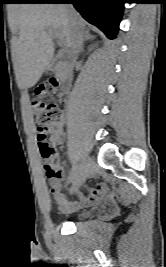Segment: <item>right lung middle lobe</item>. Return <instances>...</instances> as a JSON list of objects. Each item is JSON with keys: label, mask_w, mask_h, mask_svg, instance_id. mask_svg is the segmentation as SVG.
<instances>
[{"label": "right lung middle lobe", "mask_w": 166, "mask_h": 267, "mask_svg": "<svg viewBox=\"0 0 166 267\" xmlns=\"http://www.w3.org/2000/svg\"><path fill=\"white\" fill-rule=\"evenodd\" d=\"M23 1H25V0H18L19 3H20V2H23Z\"/></svg>", "instance_id": "dd1d6c3e"}]
</instances>
